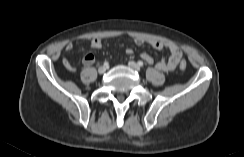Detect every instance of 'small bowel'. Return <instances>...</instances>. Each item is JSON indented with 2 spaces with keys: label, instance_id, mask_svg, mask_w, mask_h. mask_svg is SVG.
<instances>
[{
  "label": "small bowel",
  "instance_id": "small-bowel-1",
  "mask_svg": "<svg viewBox=\"0 0 244 157\" xmlns=\"http://www.w3.org/2000/svg\"><path fill=\"white\" fill-rule=\"evenodd\" d=\"M133 42L136 45H143L144 43H148L151 47L158 49V50H163L166 49L169 51L170 55L166 59H162L161 61L155 63L154 59L147 53H142L141 58L149 65H155L156 69L163 71V72H171L174 71L179 64L181 58H182V52L180 48L172 43V42H162V41H157V40H144L143 38H135ZM103 41L100 38H94L90 42V46L93 49H100L103 47ZM73 46L72 44H67L65 47V52H70L72 50ZM127 54H132L133 50L130 48L126 49ZM95 57L91 53H87L83 56L82 63L85 66H90L94 63ZM64 66L70 69L71 64L69 61L65 58L63 60ZM75 70V69H74ZM73 71V70H71Z\"/></svg>",
  "mask_w": 244,
  "mask_h": 157
}]
</instances>
